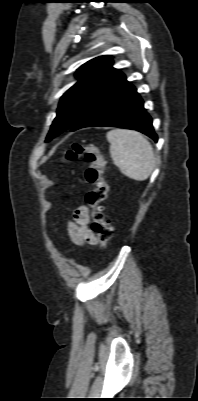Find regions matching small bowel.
Returning a JSON list of instances; mask_svg holds the SVG:
<instances>
[{
  "mask_svg": "<svg viewBox=\"0 0 198 401\" xmlns=\"http://www.w3.org/2000/svg\"><path fill=\"white\" fill-rule=\"evenodd\" d=\"M90 216L86 205L79 206L69 221L67 230L70 240L76 245L97 244V238L89 228Z\"/></svg>",
  "mask_w": 198,
  "mask_h": 401,
  "instance_id": "obj_1",
  "label": "small bowel"
}]
</instances>
